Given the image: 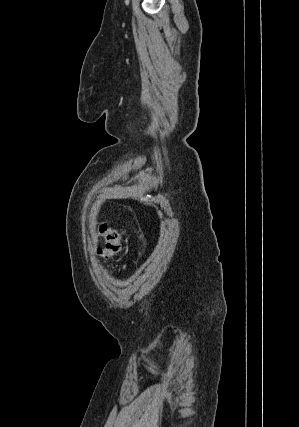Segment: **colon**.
Returning <instances> with one entry per match:
<instances>
[{
    "mask_svg": "<svg viewBox=\"0 0 299 427\" xmlns=\"http://www.w3.org/2000/svg\"><path fill=\"white\" fill-rule=\"evenodd\" d=\"M121 236L120 232L110 228L105 222L98 225L96 238L102 240L104 246L97 248L96 251L104 261L121 250Z\"/></svg>",
    "mask_w": 299,
    "mask_h": 427,
    "instance_id": "colon-1",
    "label": "colon"
}]
</instances>
